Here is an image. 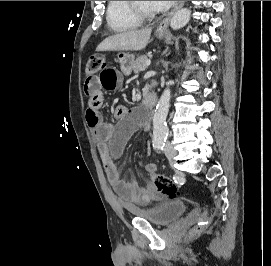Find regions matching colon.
<instances>
[{
    "instance_id": "1",
    "label": "colon",
    "mask_w": 271,
    "mask_h": 266,
    "mask_svg": "<svg viewBox=\"0 0 271 266\" xmlns=\"http://www.w3.org/2000/svg\"><path fill=\"white\" fill-rule=\"evenodd\" d=\"M106 65V60L102 55H93L88 60L86 65V74L87 75H95L98 73L104 66ZM149 177L154 189L161 193L162 195H166L169 198H176L179 195V190L176 184L168 177L158 174V173H149ZM209 223V215L207 212H204L200 215L197 226H195L190 231V237H196L200 235L206 226Z\"/></svg>"
}]
</instances>
